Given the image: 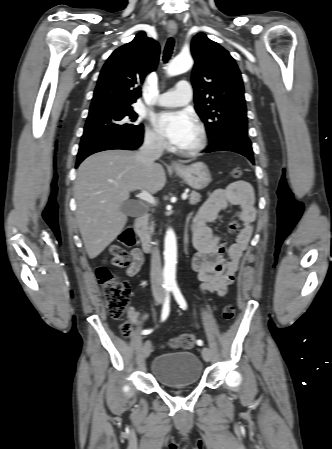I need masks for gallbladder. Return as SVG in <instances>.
<instances>
[{
    "label": "gallbladder",
    "instance_id": "obj_1",
    "mask_svg": "<svg viewBox=\"0 0 332 449\" xmlns=\"http://www.w3.org/2000/svg\"><path fill=\"white\" fill-rule=\"evenodd\" d=\"M122 211L131 217H137L142 214V209L135 201H126L122 206Z\"/></svg>",
    "mask_w": 332,
    "mask_h": 449
}]
</instances>
